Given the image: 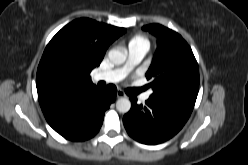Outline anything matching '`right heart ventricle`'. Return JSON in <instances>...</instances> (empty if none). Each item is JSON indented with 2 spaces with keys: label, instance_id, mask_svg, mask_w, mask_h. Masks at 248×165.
I'll list each match as a JSON object with an SVG mask.
<instances>
[{
  "label": "right heart ventricle",
  "instance_id": "obj_1",
  "mask_svg": "<svg viewBox=\"0 0 248 165\" xmlns=\"http://www.w3.org/2000/svg\"><path fill=\"white\" fill-rule=\"evenodd\" d=\"M145 44V45H147L148 46V40L145 38V37H143V36H141V35H137V36H135V37H133L130 41H129V45H131V44ZM128 45V46H129Z\"/></svg>",
  "mask_w": 248,
  "mask_h": 165
}]
</instances>
